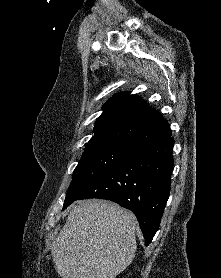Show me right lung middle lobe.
<instances>
[{
    "label": "right lung middle lobe",
    "instance_id": "1",
    "mask_svg": "<svg viewBox=\"0 0 221 278\" xmlns=\"http://www.w3.org/2000/svg\"><path fill=\"white\" fill-rule=\"evenodd\" d=\"M133 145L114 140L88 143L73 172L63 210L67 208L97 179L127 159Z\"/></svg>",
    "mask_w": 221,
    "mask_h": 278
}]
</instances>
